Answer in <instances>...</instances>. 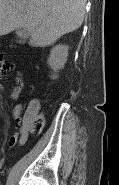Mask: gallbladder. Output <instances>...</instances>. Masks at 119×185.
Masks as SVG:
<instances>
[{
    "instance_id": "1",
    "label": "gallbladder",
    "mask_w": 119,
    "mask_h": 185,
    "mask_svg": "<svg viewBox=\"0 0 119 185\" xmlns=\"http://www.w3.org/2000/svg\"><path fill=\"white\" fill-rule=\"evenodd\" d=\"M16 34L18 35V37H19V42H21V43H25L26 40H27L28 37H29V33H28L26 30H24V29H18V30L16 31Z\"/></svg>"
}]
</instances>
